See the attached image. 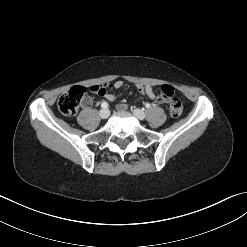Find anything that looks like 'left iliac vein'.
I'll list each match as a JSON object with an SVG mask.
<instances>
[{"instance_id": "1", "label": "left iliac vein", "mask_w": 247, "mask_h": 247, "mask_svg": "<svg viewBox=\"0 0 247 247\" xmlns=\"http://www.w3.org/2000/svg\"><path fill=\"white\" fill-rule=\"evenodd\" d=\"M133 113H134L135 117L139 120H144L146 117L145 112L141 109H134Z\"/></svg>"}]
</instances>
